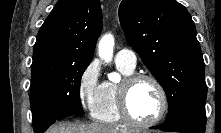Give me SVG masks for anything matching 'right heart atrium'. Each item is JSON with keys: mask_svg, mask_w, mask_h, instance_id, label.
Returning a JSON list of instances; mask_svg holds the SVG:
<instances>
[{"mask_svg": "<svg viewBox=\"0 0 221 133\" xmlns=\"http://www.w3.org/2000/svg\"><path fill=\"white\" fill-rule=\"evenodd\" d=\"M100 66L96 60L91 61L82 71L78 82V97L82 107L93 113L101 91Z\"/></svg>", "mask_w": 221, "mask_h": 133, "instance_id": "1", "label": "right heart atrium"}]
</instances>
